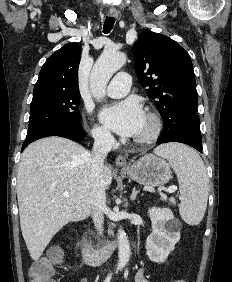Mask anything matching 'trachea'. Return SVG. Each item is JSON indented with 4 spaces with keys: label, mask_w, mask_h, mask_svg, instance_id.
<instances>
[{
    "label": "trachea",
    "mask_w": 232,
    "mask_h": 282,
    "mask_svg": "<svg viewBox=\"0 0 232 282\" xmlns=\"http://www.w3.org/2000/svg\"><path fill=\"white\" fill-rule=\"evenodd\" d=\"M114 23H115L114 17H106V20H105L104 26H103V32L105 34L109 33L112 30Z\"/></svg>",
    "instance_id": "1"
}]
</instances>
